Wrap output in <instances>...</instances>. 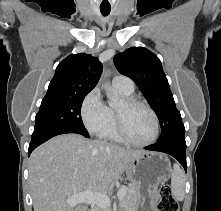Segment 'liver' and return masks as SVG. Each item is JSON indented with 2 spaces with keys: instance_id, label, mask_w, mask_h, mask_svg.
Wrapping results in <instances>:
<instances>
[{
  "instance_id": "1",
  "label": "liver",
  "mask_w": 221,
  "mask_h": 211,
  "mask_svg": "<svg viewBox=\"0 0 221 211\" xmlns=\"http://www.w3.org/2000/svg\"><path fill=\"white\" fill-rule=\"evenodd\" d=\"M144 153L78 134L56 136L29 158V186L34 211H87L66 200L86 190L105 194L129 162Z\"/></svg>"
}]
</instances>
